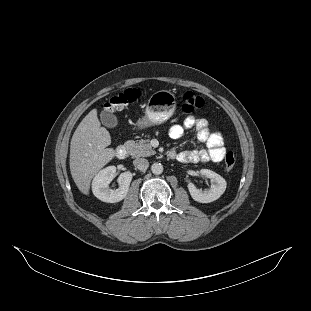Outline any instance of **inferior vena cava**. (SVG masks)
<instances>
[{
	"instance_id": "inferior-vena-cava-1",
	"label": "inferior vena cava",
	"mask_w": 311,
	"mask_h": 311,
	"mask_svg": "<svg viewBox=\"0 0 311 311\" xmlns=\"http://www.w3.org/2000/svg\"><path fill=\"white\" fill-rule=\"evenodd\" d=\"M133 165L141 171H146L149 167V162L145 158H137L133 161Z\"/></svg>"
}]
</instances>
